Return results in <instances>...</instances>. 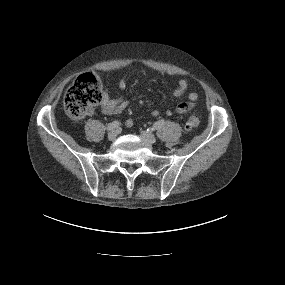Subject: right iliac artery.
Masks as SVG:
<instances>
[{"label": "right iliac artery", "mask_w": 285, "mask_h": 285, "mask_svg": "<svg viewBox=\"0 0 285 285\" xmlns=\"http://www.w3.org/2000/svg\"><path fill=\"white\" fill-rule=\"evenodd\" d=\"M119 125H120L119 121H113V122L108 124L107 131H112V130L118 128Z\"/></svg>", "instance_id": "1"}]
</instances>
